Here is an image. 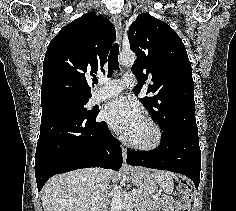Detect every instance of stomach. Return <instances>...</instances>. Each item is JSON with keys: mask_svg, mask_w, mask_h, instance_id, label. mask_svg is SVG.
Returning a JSON list of instances; mask_svg holds the SVG:
<instances>
[{"mask_svg": "<svg viewBox=\"0 0 236 211\" xmlns=\"http://www.w3.org/2000/svg\"><path fill=\"white\" fill-rule=\"evenodd\" d=\"M130 178L146 198L152 199V196L157 193V184L147 170L138 167L131 168Z\"/></svg>", "mask_w": 236, "mask_h": 211, "instance_id": "0dacf381", "label": "stomach"}]
</instances>
